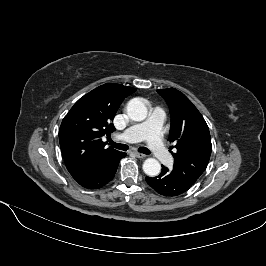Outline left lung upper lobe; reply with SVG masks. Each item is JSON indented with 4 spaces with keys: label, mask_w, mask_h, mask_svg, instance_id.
<instances>
[{
    "label": "left lung upper lobe",
    "mask_w": 266,
    "mask_h": 266,
    "mask_svg": "<svg viewBox=\"0 0 266 266\" xmlns=\"http://www.w3.org/2000/svg\"><path fill=\"white\" fill-rule=\"evenodd\" d=\"M157 92L166 100L171 113L170 136L175 143L172 176L191 187L205 171L211 151V137L207 123L193 103L174 88ZM173 147H171L172 149ZM168 169V168H167Z\"/></svg>",
    "instance_id": "1"
}]
</instances>
